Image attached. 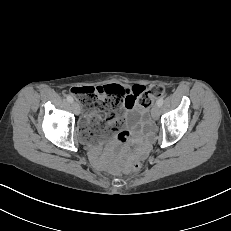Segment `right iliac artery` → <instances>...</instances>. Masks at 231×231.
<instances>
[{
	"instance_id": "obj_1",
	"label": "right iliac artery",
	"mask_w": 231,
	"mask_h": 231,
	"mask_svg": "<svg viewBox=\"0 0 231 231\" xmlns=\"http://www.w3.org/2000/svg\"><path fill=\"white\" fill-rule=\"evenodd\" d=\"M67 101L70 102V103H72V102L74 101V100H73V97L70 96V95H68V96H67Z\"/></svg>"
}]
</instances>
